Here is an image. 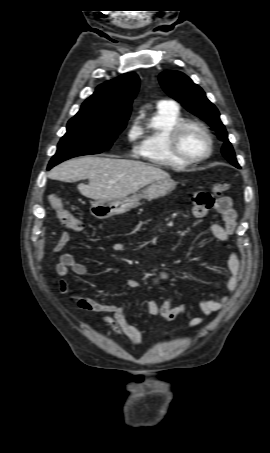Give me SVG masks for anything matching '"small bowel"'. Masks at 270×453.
Segmentation results:
<instances>
[{
    "instance_id": "small-bowel-1",
    "label": "small bowel",
    "mask_w": 270,
    "mask_h": 453,
    "mask_svg": "<svg viewBox=\"0 0 270 453\" xmlns=\"http://www.w3.org/2000/svg\"><path fill=\"white\" fill-rule=\"evenodd\" d=\"M215 209L220 214L222 224L213 223L210 226V231L216 239L222 242L229 241L230 237L236 230V213L232 207L231 199L227 196L218 198L215 201ZM208 212V207L194 200L193 214L197 218L204 217ZM71 235L68 232H63L54 246V252H61L65 246L70 242ZM114 249L117 252L123 250L122 243H116ZM227 268L229 270V277L226 280L220 279L216 283V288H225L228 294L219 299H202L198 302L199 310L206 316L221 310L229 301L230 294H232L238 286L241 274V258L237 251H232L227 259ZM72 271L77 276L86 274V267L84 264L75 260L74 256L70 253H63L60 256V261L56 266V272L61 278L58 281V288L63 294H70L71 298L75 301L77 307L82 311L101 314V322L107 325L116 335L127 338L134 346L142 344V336L140 332L126 319L127 308L112 303H104L89 297H83L71 294L68 281L65 277ZM170 274L166 271L160 272L154 281L156 283L164 282L170 279ZM140 281L136 278L127 280V286L131 289L140 287ZM147 311L150 314L161 316L166 321H173L179 315L184 314L189 304L187 302L175 304L174 297L169 295L161 303L156 300L147 301L145 304ZM203 322L201 317L193 318L189 327H197Z\"/></svg>"
}]
</instances>
